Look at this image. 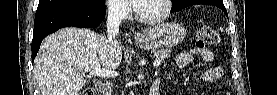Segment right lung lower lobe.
I'll return each instance as SVG.
<instances>
[{
    "mask_svg": "<svg viewBox=\"0 0 277 95\" xmlns=\"http://www.w3.org/2000/svg\"><path fill=\"white\" fill-rule=\"evenodd\" d=\"M105 12V4L94 8H54L36 12L32 40V62L42 40L48 34L68 26L97 27L104 19Z\"/></svg>",
    "mask_w": 277,
    "mask_h": 95,
    "instance_id": "1",
    "label": "right lung lower lobe"
}]
</instances>
